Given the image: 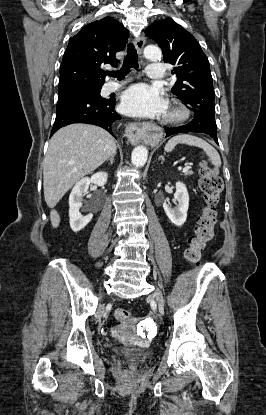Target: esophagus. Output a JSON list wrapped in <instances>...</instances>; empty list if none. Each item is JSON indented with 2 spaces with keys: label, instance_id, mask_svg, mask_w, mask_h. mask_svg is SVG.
Segmentation results:
<instances>
[{
  "label": "esophagus",
  "instance_id": "obj_1",
  "mask_svg": "<svg viewBox=\"0 0 266 415\" xmlns=\"http://www.w3.org/2000/svg\"><path fill=\"white\" fill-rule=\"evenodd\" d=\"M144 45H145V37L142 34L139 37H137L135 40V47L139 55L142 54ZM125 133H126L128 140L132 144L139 143L145 137L144 126L143 124L138 123V122L130 123L126 127Z\"/></svg>",
  "mask_w": 266,
  "mask_h": 415
}]
</instances>
